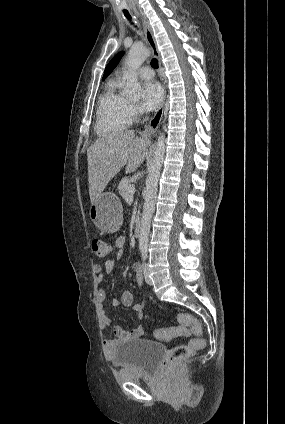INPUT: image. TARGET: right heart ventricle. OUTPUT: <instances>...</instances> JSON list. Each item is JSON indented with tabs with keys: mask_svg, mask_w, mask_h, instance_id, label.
<instances>
[{
	"mask_svg": "<svg viewBox=\"0 0 285 424\" xmlns=\"http://www.w3.org/2000/svg\"><path fill=\"white\" fill-rule=\"evenodd\" d=\"M121 79L115 77L108 81L99 97L95 130L105 136L124 130L130 123V104L119 92Z\"/></svg>",
	"mask_w": 285,
	"mask_h": 424,
	"instance_id": "obj_1",
	"label": "right heart ventricle"
}]
</instances>
